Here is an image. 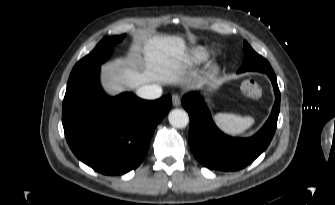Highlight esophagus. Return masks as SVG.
Returning <instances> with one entry per match:
<instances>
[{
	"mask_svg": "<svg viewBox=\"0 0 335 205\" xmlns=\"http://www.w3.org/2000/svg\"><path fill=\"white\" fill-rule=\"evenodd\" d=\"M172 103H173V106H175V107L180 106V104H181L180 97L178 95H173L172 96Z\"/></svg>",
	"mask_w": 335,
	"mask_h": 205,
	"instance_id": "34e87169",
	"label": "esophagus"
}]
</instances>
